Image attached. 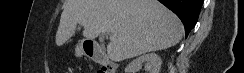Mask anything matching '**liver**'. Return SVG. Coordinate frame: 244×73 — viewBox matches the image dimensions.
<instances>
[{"mask_svg":"<svg viewBox=\"0 0 244 73\" xmlns=\"http://www.w3.org/2000/svg\"><path fill=\"white\" fill-rule=\"evenodd\" d=\"M78 24L86 39L115 35L107 54L116 62L175 46L184 30L180 19L157 0H67L56 45L68 41Z\"/></svg>","mask_w":244,"mask_h":73,"instance_id":"liver-1","label":"liver"}]
</instances>
